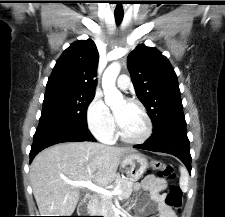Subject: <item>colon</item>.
I'll return each mask as SVG.
<instances>
[{"mask_svg":"<svg viewBox=\"0 0 225 217\" xmlns=\"http://www.w3.org/2000/svg\"><path fill=\"white\" fill-rule=\"evenodd\" d=\"M152 168L156 170L161 177H164L170 180L175 178V172L173 167L164 162L153 161ZM165 203L175 210L181 209L182 191L177 185L172 184L170 186L167 194L165 195Z\"/></svg>","mask_w":225,"mask_h":217,"instance_id":"5ec220e1","label":"colon"}]
</instances>
